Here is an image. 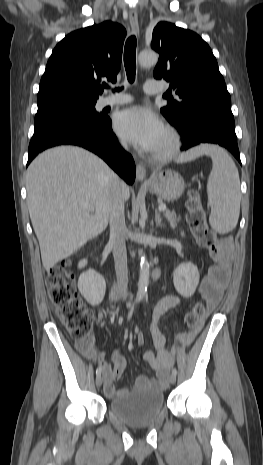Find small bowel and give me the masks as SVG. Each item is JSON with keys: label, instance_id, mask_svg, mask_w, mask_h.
I'll return each instance as SVG.
<instances>
[{"label": "small bowel", "instance_id": "1", "mask_svg": "<svg viewBox=\"0 0 263 465\" xmlns=\"http://www.w3.org/2000/svg\"><path fill=\"white\" fill-rule=\"evenodd\" d=\"M216 264L212 266L208 273L202 278L198 292L207 299L208 310L214 309L220 302L224 290L229 282L230 269V252L226 248L215 256ZM181 302L180 297L176 295H168L162 298L154 308L150 325V332L157 353L147 351L144 354V360L149 366L156 371V378H149L145 375L139 376L135 381L136 387H152L164 388L167 382L169 368L174 363V351H170L165 346V337L158 327V323L162 316L169 310L177 307ZM206 323L202 322L199 325L200 334H205ZM198 333V329L182 333L178 339L180 345L190 344ZM137 342L143 345L145 342L143 334H138ZM101 359L103 356L101 355ZM113 366L107 363H102L101 367L104 373V392L108 397L118 396L126 389L117 390L114 386V381L118 380L124 373L126 368V360L119 352L113 353Z\"/></svg>", "mask_w": 263, "mask_h": 465}]
</instances>
